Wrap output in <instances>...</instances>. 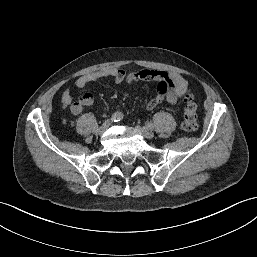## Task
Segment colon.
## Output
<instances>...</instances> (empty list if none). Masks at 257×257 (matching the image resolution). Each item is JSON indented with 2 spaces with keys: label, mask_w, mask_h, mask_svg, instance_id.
<instances>
[{
  "label": "colon",
  "mask_w": 257,
  "mask_h": 257,
  "mask_svg": "<svg viewBox=\"0 0 257 257\" xmlns=\"http://www.w3.org/2000/svg\"><path fill=\"white\" fill-rule=\"evenodd\" d=\"M181 127L185 133H192L198 127L196 104L191 97H187L185 100L184 116Z\"/></svg>",
  "instance_id": "obj_1"
}]
</instances>
